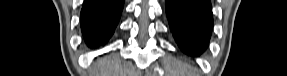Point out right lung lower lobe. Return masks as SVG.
Returning <instances> with one entry per match:
<instances>
[{"instance_id":"98d812e1","label":"right lung lower lobe","mask_w":287,"mask_h":76,"mask_svg":"<svg viewBox=\"0 0 287 76\" xmlns=\"http://www.w3.org/2000/svg\"><path fill=\"white\" fill-rule=\"evenodd\" d=\"M123 3L124 0H84L81 28L89 47L107 43L118 24Z\"/></svg>"}]
</instances>
